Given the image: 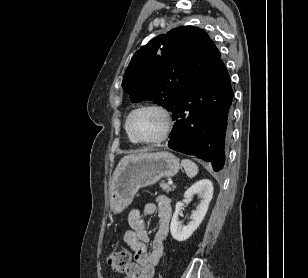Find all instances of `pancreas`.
I'll list each match as a JSON object with an SVG mask.
<instances>
[{
	"instance_id": "pancreas-1",
	"label": "pancreas",
	"mask_w": 308,
	"mask_h": 278,
	"mask_svg": "<svg viewBox=\"0 0 308 278\" xmlns=\"http://www.w3.org/2000/svg\"><path fill=\"white\" fill-rule=\"evenodd\" d=\"M160 187L163 191H165L166 193H169L171 191H173L175 189L174 185H168L167 183H165L164 181L160 183Z\"/></svg>"
}]
</instances>
